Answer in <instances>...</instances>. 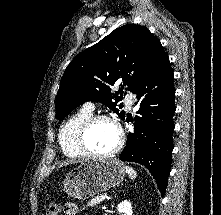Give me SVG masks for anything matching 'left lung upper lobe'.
<instances>
[{"label":"left lung upper lobe","mask_w":221,"mask_h":215,"mask_svg":"<svg viewBox=\"0 0 221 215\" xmlns=\"http://www.w3.org/2000/svg\"><path fill=\"white\" fill-rule=\"evenodd\" d=\"M166 57L159 39L147 28L129 24L115 29L65 69L56 97V118L61 120L85 101L94 100L124 119L125 112L116 108L123 90L133 93ZM114 84L120 87L117 95L111 93Z\"/></svg>","instance_id":"obj_1"}]
</instances>
